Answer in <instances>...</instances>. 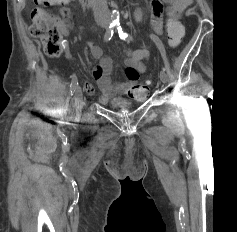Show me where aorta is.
I'll return each instance as SVG.
<instances>
[{"label": "aorta", "instance_id": "762f6f07", "mask_svg": "<svg viewBox=\"0 0 237 232\" xmlns=\"http://www.w3.org/2000/svg\"><path fill=\"white\" fill-rule=\"evenodd\" d=\"M119 17H120L119 12H117V11L112 12L111 18H112L113 22L119 21Z\"/></svg>", "mask_w": 237, "mask_h": 232}]
</instances>
